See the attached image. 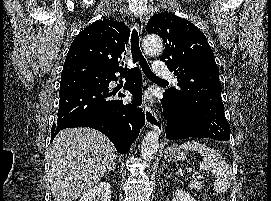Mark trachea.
Masks as SVG:
<instances>
[{"instance_id":"3493384b","label":"trachea","mask_w":271,"mask_h":201,"mask_svg":"<svg viewBox=\"0 0 271 201\" xmlns=\"http://www.w3.org/2000/svg\"><path fill=\"white\" fill-rule=\"evenodd\" d=\"M131 53L133 63L138 62L140 67L142 68V71L148 78L162 80L151 71L146 59L144 58L139 46L138 32L135 29H133L131 34Z\"/></svg>"}]
</instances>
